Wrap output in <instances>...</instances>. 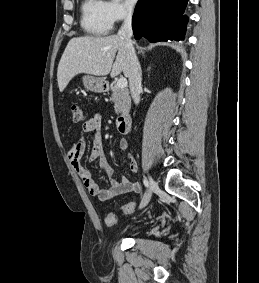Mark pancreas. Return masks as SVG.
<instances>
[{
  "label": "pancreas",
  "mask_w": 259,
  "mask_h": 283,
  "mask_svg": "<svg viewBox=\"0 0 259 283\" xmlns=\"http://www.w3.org/2000/svg\"><path fill=\"white\" fill-rule=\"evenodd\" d=\"M111 100L114 102L116 114L128 112L131 106L129 92L125 88H119L117 85L111 87Z\"/></svg>",
  "instance_id": "pancreas-1"
}]
</instances>
